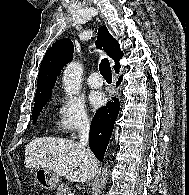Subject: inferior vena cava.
I'll return each mask as SVG.
<instances>
[{
  "instance_id": "obj_1",
  "label": "inferior vena cava",
  "mask_w": 189,
  "mask_h": 195,
  "mask_svg": "<svg viewBox=\"0 0 189 195\" xmlns=\"http://www.w3.org/2000/svg\"><path fill=\"white\" fill-rule=\"evenodd\" d=\"M80 144L86 146L88 144L90 122L86 116L80 117L76 123Z\"/></svg>"
}]
</instances>
